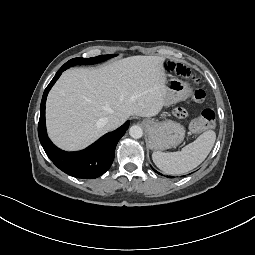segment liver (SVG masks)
Listing matches in <instances>:
<instances>
[{"mask_svg": "<svg viewBox=\"0 0 255 255\" xmlns=\"http://www.w3.org/2000/svg\"><path fill=\"white\" fill-rule=\"evenodd\" d=\"M165 58L131 56L98 69L65 71L50 91L46 124L62 149H82L108 129L104 120L156 116L166 104Z\"/></svg>", "mask_w": 255, "mask_h": 255, "instance_id": "6515ba94", "label": "liver"}]
</instances>
